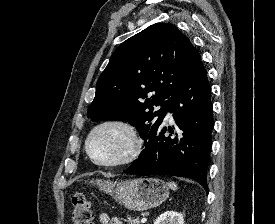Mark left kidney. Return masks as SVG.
Masks as SVG:
<instances>
[{
  "label": "left kidney",
  "instance_id": "1",
  "mask_svg": "<svg viewBox=\"0 0 275 224\" xmlns=\"http://www.w3.org/2000/svg\"><path fill=\"white\" fill-rule=\"evenodd\" d=\"M154 224H184V219L176 211H166L156 219Z\"/></svg>",
  "mask_w": 275,
  "mask_h": 224
}]
</instances>
